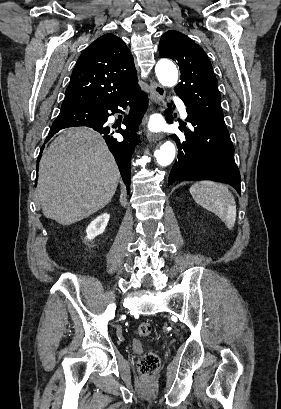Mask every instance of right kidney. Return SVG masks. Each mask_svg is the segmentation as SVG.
<instances>
[{
  "mask_svg": "<svg viewBox=\"0 0 281 409\" xmlns=\"http://www.w3.org/2000/svg\"><path fill=\"white\" fill-rule=\"evenodd\" d=\"M109 219L110 215L108 213H103V215H99L97 219H94L86 229V239H95L97 235H101L105 231Z\"/></svg>",
  "mask_w": 281,
  "mask_h": 409,
  "instance_id": "obj_1",
  "label": "right kidney"
}]
</instances>
